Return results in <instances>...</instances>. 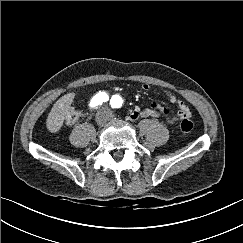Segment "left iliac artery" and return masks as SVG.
Returning a JSON list of instances; mask_svg holds the SVG:
<instances>
[{"label":"left iliac artery","mask_w":243,"mask_h":243,"mask_svg":"<svg viewBox=\"0 0 243 243\" xmlns=\"http://www.w3.org/2000/svg\"><path fill=\"white\" fill-rule=\"evenodd\" d=\"M110 104L113 108H119L122 106V99L118 95H114L110 101Z\"/></svg>","instance_id":"obj_1"}]
</instances>
